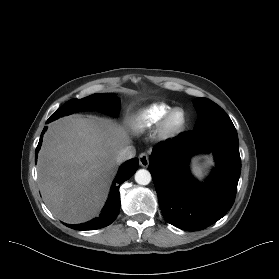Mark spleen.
I'll return each mask as SVG.
<instances>
[{"label":"spleen","mask_w":279,"mask_h":279,"mask_svg":"<svg viewBox=\"0 0 279 279\" xmlns=\"http://www.w3.org/2000/svg\"><path fill=\"white\" fill-rule=\"evenodd\" d=\"M192 171L194 173L195 176L201 178L202 177V168L199 164H197L196 162L193 163L192 165Z\"/></svg>","instance_id":"1"}]
</instances>
